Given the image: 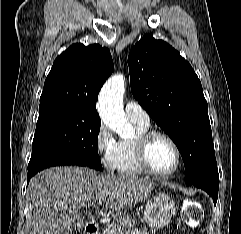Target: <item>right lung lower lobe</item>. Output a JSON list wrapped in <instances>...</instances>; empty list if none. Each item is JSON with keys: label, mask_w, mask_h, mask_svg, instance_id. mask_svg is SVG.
Segmentation results:
<instances>
[{"label": "right lung lower lobe", "mask_w": 241, "mask_h": 234, "mask_svg": "<svg viewBox=\"0 0 241 234\" xmlns=\"http://www.w3.org/2000/svg\"><path fill=\"white\" fill-rule=\"evenodd\" d=\"M60 165L87 166L82 160L72 154L61 151L48 152L30 160L28 164L27 184L29 179L37 172L45 168Z\"/></svg>", "instance_id": "right-lung-lower-lobe-1"}]
</instances>
